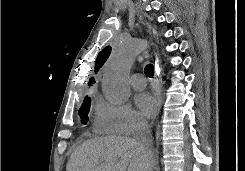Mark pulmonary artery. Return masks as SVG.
<instances>
[{
    "mask_svg": "<svg viewBox=\"0 0 245 171\" xmlns=\"http://www.w3.org/2000/svg\"><path fill=\"white\" fill-rule=\"evenodd\" d=\"M130 84L135 90H142L145 88L146 81L141 74H133L130 77Z\"/></svg>",
    "mask_w": 245,
    "mask_h": 171,
    "instance_id": "pulmonary-artery-1",
    "label": "pulmonary artery"
}]
</instances>
